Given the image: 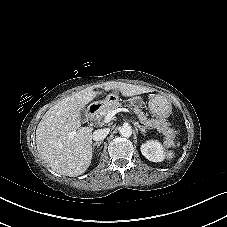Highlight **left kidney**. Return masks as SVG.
<instances>
[{
    "instance_id": "5707ae66",
    "label": "left kidney",
    "mask_w": 227,
    "mask_h": 227,
    "mask_svg": "<svg viewBox=\"0 0 227 227\" xmlns=\"http://www.w3.org/2000/svg\"><path fill=\"white\" fill-rule=\"evenodd\" d=\"M141 152L149 161L161 162L164 160V151L160 142L157 140H148L141 145Z\"/></svg>"
}]
</instances>
